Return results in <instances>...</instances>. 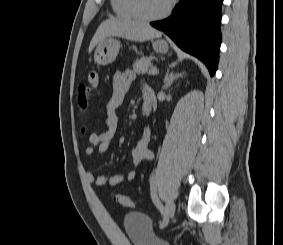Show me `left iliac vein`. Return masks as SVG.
I'll list each match as a JSON object with an SVG mask.
<instances>
[{
	"mask_svg": "<svg viewBox=\"0 0 283 245\" xmlns=\"http://www.w3.org/2000/svg\"><path fill=\"white\" fill-rule=\"evenodd\" d=\"M174 213H175V203L173 200H168L166 206L165 222L161 228H164L168 225L170 219L174 216Z\"/></svg>",
	"mask_w": 283,
	"mask_h": 245,
	"instance_id": "1",
	"label": "left iliac vein"
}]
</instances>
